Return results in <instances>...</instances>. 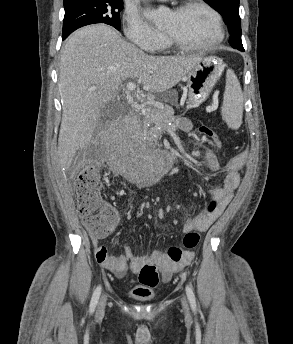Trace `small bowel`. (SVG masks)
<instances>
[{
	"label": "small bowel",
	"instance_id": "1",
	"mask_svg": "<svg viewBox=\"0 0 293 344\" xmlns=\"http://www.w3.org/2000/svg\"><path fill=\"white\" fill-rule=\"evenodd\" d=\"M179 128L189 131L191 129L190 121L187 118H181ZM195 155L202 156L203 163L211 172L222 171L224 174L223 188L209 192L216 202V209L213 212L199 213L195 217L187 219L183 225V230L186 232L192 230L205 232L224 212L232 200L240 185V170L245 164L246 157L244 153H240L230 159L224 167H221L216 155L211 150L196 151ZM100 239L92 238L95 258L103 268L111 271L118 278H123L129 271L139 272L145 265L156 264L161 267L164 277L168 279L173 273L189 266L194 259V252L192 251L185 252L180 261L173 262L165 258L159 250H153L149 255H138L129 246H124L121 255H109L106 247L100 244ZM131 293L134 297L141 298L148 296L149 290L142 286L134 288Z\"/></svg>",
	"mask_w": 293,
	"mask_h": 344
}]
</instances>
